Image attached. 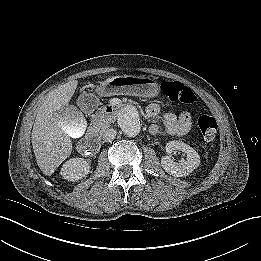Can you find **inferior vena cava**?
Instances as JSON below:
<instances>
[{
    "label": "inferior vena cava",
    "instance_id": "inferior-vena-cava-1",
    "mask_svg": "<svg viewBox=\"0 0 261 261\" xmlns=\"http://www.w3.org/2000/svg\"><path fill=\"white\" fill-rule=\"evenodd\" d=\"M117 131L115 129H108L105 131L103 134V140L105 142H111L112 140L115 139Z\"/></svg>",
    "mask_w": 261,
    "mask_h": 261
}]
</instances>
